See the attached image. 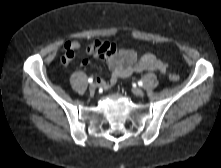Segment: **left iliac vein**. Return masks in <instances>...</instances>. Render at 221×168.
Wrapping results in <instances>:
<instances>
[{"instance_id": "obj_1", "label": "left iliac vein", "mask_w": 221, "mask_h": 168, "mask_svg": "<svg viewBox=\"0 0 221 168\" xmlns=\"http://www.w3.org/2000/svg\"><path fill=\"white\" fill-rule=\"evenodd\" d=\"M132 92L136 96H143L144 95V91L141 88H134L132 90Z\"/></svg>"}]
</instances>
